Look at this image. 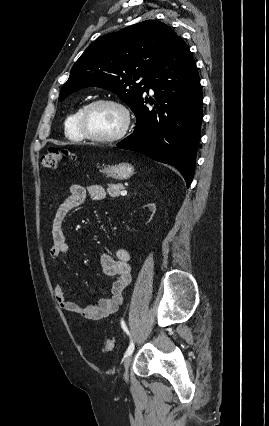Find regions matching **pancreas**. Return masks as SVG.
Wrapping results in <instances>:
<instances>
[{"instance_id":"cf45deb5","label":"pancreas","mask_w":269,"mask_h":426,"mask_svg":"<svg viewBox=\"0 0 269 426\" xmlns=\"http://www.w3.org/2000/svg\"><path fill=\"white\" fill-rule=\"evenodd\" d=\"M123 189L124 186L122 184H108L107 192L112 198H116Z\"/></svg>"}]
</instances>
